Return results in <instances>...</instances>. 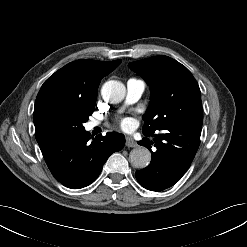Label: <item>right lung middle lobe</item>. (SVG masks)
I'll list each match as a JSON object with an SVG mask.
<instances>
[{"instance_id":"obj_1","label":"right lung middle lobe","mask_w":247,"mask_h":247,"mask_svg":"<svg viewBox=\"0 0 247 247\" xmlns=\"http://www.w3.org/2000/svg\"><path fill=\"white\" fill-rule=\"evenodd\" d=\"M94 109L95 104L46 103L34 113L35 129L67 132L83 130V123L88 121Z\"/></svg>"}]
</instances>
